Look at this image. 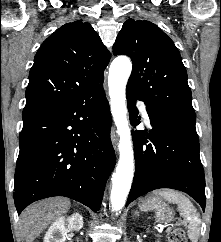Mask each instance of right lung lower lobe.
I'll return each instance as SVG.
<instances>
[{"mask_svg": "<svg viewBox=\"0 0 221 242\" xmlns=\"http://www.w3.org/2000/svg\"><path fill=\"white\" fill-rule=\"evenodd\" d=\"M103 81L61 107L23 117L14 184L18 214L52 196L100 209L116 161Z\"/></svg>", "mask_w": 221, "mask_h": 242, "instance_id": "1", "label": "right lung lower lobe"}]
</instances>
